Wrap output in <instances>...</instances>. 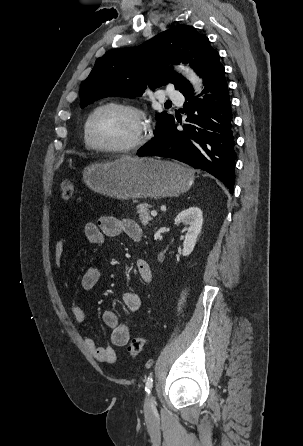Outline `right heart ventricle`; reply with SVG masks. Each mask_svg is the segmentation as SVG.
I'll use <instances>...</instances> for the list:
<instances>
[{"instance_id":"1","label":"right heart ventricle","mask_w":303,"mask_h":446,"mask_svg":"<svg viewBox=\"0 0 303 446\" xmlns=\"http://www.w3.org/2000/svg\"><path fill=\"white\" fill-rule=\"evenodd\" d=\"M84 146H85L87 149L90 148L89 145H88L87 142H86L85 135H84Z\"/></svg>"}]
</instances>
